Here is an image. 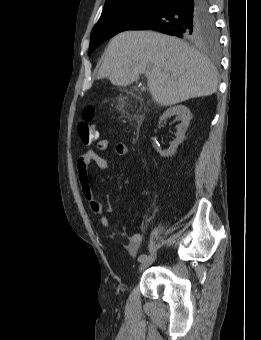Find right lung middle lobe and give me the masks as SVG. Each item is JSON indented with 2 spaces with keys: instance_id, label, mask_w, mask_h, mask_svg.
Instances as JSON below:
<instances>
[{
  "instance_id": "1",
  "label": "right lung middle lobe",
  "mask_w": 261,
  "mask_h": 340,
  "mask_svg": "<svg viewBox=\"0 0 261 340\" xmlns=\"http://www.w3.org/2000/svg\"><path fill=\"white\" fill-rule=\"evenodd\" d=\"M160 2L161 0L135 1L103 11L91 32L89 55L105 40L119 32L130 30L154 11ZM182 38L191 42H202L215 46L218 43V32L211 14L208 12L191 21L185 28Z\"/></svg>"
}]
</instances>
